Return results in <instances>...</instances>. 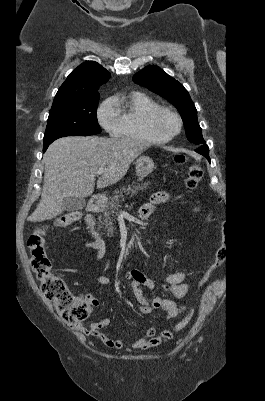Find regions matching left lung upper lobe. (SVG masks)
Returning <instances> with one entry per match:
<instances>
[{
    "label": "left lung upper lobe",
    "instance_id": "1",
    "mask_svg": "<svg viewBox=\"0 0 265 401\" xmlns=\"http://www.w3.org/2000/svg\"><path fill=\"white\" fill-rule=\"evenodd\" d=\"M133 81L164 97L178 109L190 142L205 143L198 124L195 105L181 83L157 66H148L141 70L134 75Z\"/></svg>",
    "mask_w": 265,
    "mask_h": 401
}]
</instances>
